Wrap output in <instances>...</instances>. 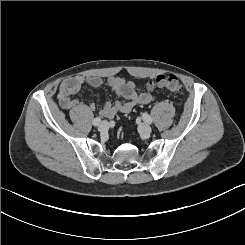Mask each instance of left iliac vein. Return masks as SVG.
<instances>
[{
	"instance_id": "1",
	"label": "left iliac vein",
	"mask_w": 245,
	"mask_h": 245,
	"mask_svg": "<svg viewBox=\"0 0 245 245\" xmlns=\"http://www.w3.org/2000/svg\"><path fill=\"white\" fill-rule=\"evenodd\" d=\"M139 130L144 135H149L151 133V128L147 123H141L139 125Z\"/></svg>"
}]
</instances>
